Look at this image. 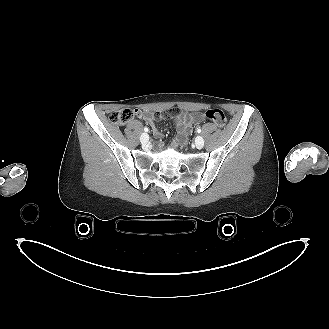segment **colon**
Listing matches in <instances>:
<instances>
[{
    "label": "colon",
    "mask_w": 329,
    "mask_h": 329,
    "mask_svg": "<svg viewBox=\"0 0 329 329\" xmlns=\"http://www.w3.org/2000/svg\"><path fill=\"white\" fill-rule=\"evenodd\" d=\"M139 110L122 109L109 115L108 120L113 125H125L130 122L136 114H140ZM205 117L215 122L220 127H225L227 118L223 111L219 109H209L205 112Z\"/></svg>",
    "instance_id": "obj_1"
}]
</instances>
